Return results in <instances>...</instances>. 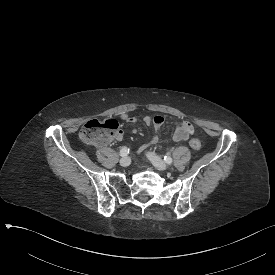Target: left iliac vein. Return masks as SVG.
I'll use <instances>...</instances> for the list:
<instances>
[{
    "label": "left iliac vein",
    "instance_id": "obj_1",
    "mask_svg": "<svg viewBox=\"0 0 275 275\" xmlns=\"http://www.w3.org/2000/svg\"><path fill=\"white\" fill-rule=\"evenodd\" d=\"M147 157L149 158V160L152 162V164L158 170H161V171L166 170L167 166H166L165 162L158 155H156L154 152L148 151Z\"/></svg>",
    "mask_w": 275,
    "mask_h": 275
}]
</instances>
